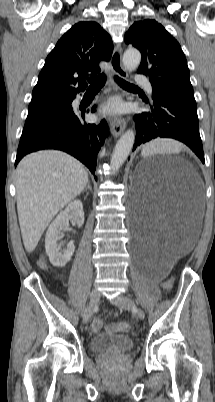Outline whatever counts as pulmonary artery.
I'll return each mask as SVG.
<instances>
[{
	"instance_id": "obj_1",
	"label": "pulmonary artery",
	"mask_w": 215,
	"mask_h": 402,
	"mask_svg": "<svg viewBox=\"0 0 215 402\" xmlns=\"http://www.w3.org/2000/svg\"><path fill=\"white\" fill-rule=\"evenodd\" d=\"M135 81H136L137 83H139V84L144 85V86L146 87L147 91H148L149 93H152V86H151V83L149 82V80H148L147 78H145V77L142 76V75H138V76L136 77Z\"/></svg>"
}]
</instances>
